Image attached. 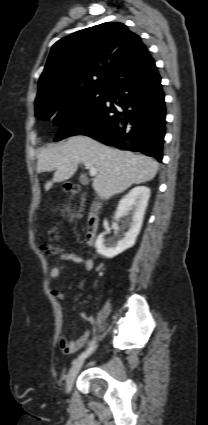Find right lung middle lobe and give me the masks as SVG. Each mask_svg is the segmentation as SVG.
<instances>
[{"label": "right lung middle lobe", "mask_w": 208, "mask_h": 425, "mask_svg": "<svg viewBox=\"0 0 208 425\" xmlns=\"http://www.w3.org/2000/svg\"><path fill=\"white\" fill-rule=\"evenodd\" d=\"M106 88H88L60 96H50L35 102L37 118H53L61 124L82 112L98 106L105 98Z\"/></svg>", "instance_id": "1"}]
</instances>
